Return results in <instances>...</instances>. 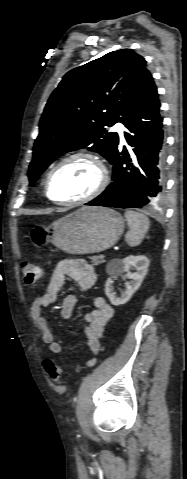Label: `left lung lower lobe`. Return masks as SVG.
Segmentation results:
<instances>
[{
    "label": "left lung lower lobe",
    "mask_w": 187,
    "mask_h": 479,
    "mask_svg": "<svg viewBox=\"0 0 187 479\" xmlns=\"http://www.w3.org/2000/svg\"><path fill=\"white\" fill-rule=\"evenodd\" d=\"M160 101L152 75L145 78L140 93L124 121V137L134 147V160L126 147L118 148L113 181L86 205L142 208L158 203L164 194L165 143Z\"/></svg>",
    "instance_id": "obj_1"
}]
</instances>
